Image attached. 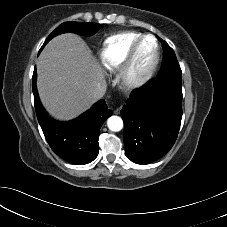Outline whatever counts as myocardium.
Listing matches in <instances>:
<instances>
[{
    "label": "myocardium",
    "instance_id": "1",
    "mask_svg": "<svg viewBox=\"0 0 227 227\" xmlns=\"http://www.w3.org/2000/svg\"><path fill=\"white\" fill-rule=\"evenodd\" d=\"M152 39L155 44L153 59L146 70L137 72L135 62L142 44L147 39ZM160 61V46L157 38L152 34L142 35L131 47L119 71L120 85L127 90L136 89L148 82L157 70Z\"/></svg>",
    "mask_w": 227,
    "mask_h": 227
}]
</instances>
